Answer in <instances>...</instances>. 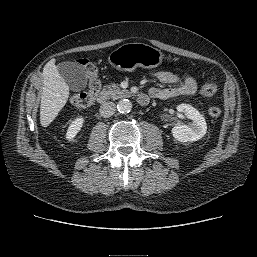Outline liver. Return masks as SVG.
I'll return each mask as SVG.
<instances>
[{
	"label": "liver",
	"instance_id": "1",
	"mask_svg": "<svg viewBox=\"0 0 257 257\" xmlns=\"http://www.w3.org/2000/svg\"><path fill=\"white\" fill-rule=\"evenodd\" d=\"M42 76L40 123L47 127L65 106L69 98V86L59 74L54 59L45 65Z\"/></svg>",
	"mask_w": 257,
	"mask_h": 257
}]
</instances>
